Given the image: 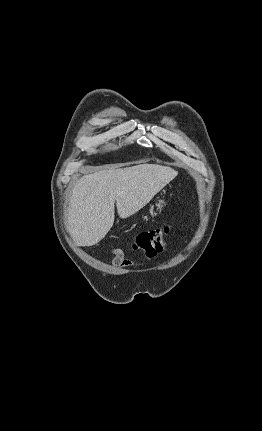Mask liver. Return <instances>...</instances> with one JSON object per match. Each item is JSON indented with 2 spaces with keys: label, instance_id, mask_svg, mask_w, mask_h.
Wrapping results in <instances>:
<instances>
[{
  "label": "liver",
  "instance_id": "1",
  "mask_svg": "<svg viewBox=\"0 0 262 431\" xmlns=\"http://www.w3.org/2000/svg\"><path fill=\"white\" fill-rule=\"evenodd\" d=\"M178 172L158 164L113 168L81 177L70 196L68 231L78 246L100 242L120 218L135 214L172 181Z\"/></svg>",
  "mask_w": 262,
  "mask_h": 431
}]
</instances>
